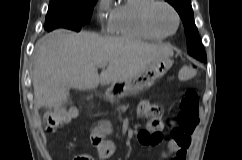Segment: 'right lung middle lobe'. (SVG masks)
Returning <instances> with one entry per match:
<instances>
[{
  "label": "right lung middle lobe",
  "mask_w": 242,
  "mask_h": 160,
  "mask_svg": "<svg viewBox=\"0 0 242 160\" xmlns=\"http://www.w3.org/2000/svg\"><path fill=\"white\" fill-rule=\"evenodd\" d=\"M97 0H50L44 29L68 28L80 31L88 24Z\"/></svg>",
  "instance_id": "right-lung-middle-lobe-1"
}]
</instances>
